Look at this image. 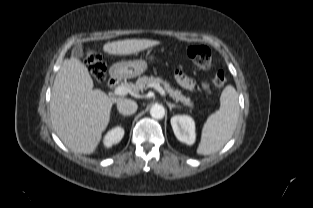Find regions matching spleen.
<instances>
[{"mask_svg":"<svg viewBox=\"0 0 313 208\" xmlns=\"http://www.w3.org/2000/svg\"><path fill=\"white\" fill-rule=\"evenodd\" d=\"M238 93L227 85L220 97V109L211 114L202 129L197 153L210 155L219 151L232 137L239 118Z\"/></svg>","mask_w":313,"mask_h":208,"instance_id":"1","label":"spleen"}]
</instances>
